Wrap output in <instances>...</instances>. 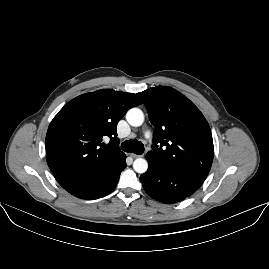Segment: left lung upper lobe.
Here are the masks:
<instances>
[{
  "label": "left lung upper lobe",
  "mask_w": 269,
  "mask_h": 269,
  "mask_svg": "<svg viewBox=\"0 0 269 269\" xmlns=\"http://www.w3.org/2000/svg\"><path fill=\"white\" fill-rule=\"evenodd\" d=\"M137 96L154 125V145L146 154L147 160L207 177L214 149L209 124L200 110L183 94L167 86L149 88Z\"/></svg>",
  "instance_id": "5c2ea615"
}]
</instances>
